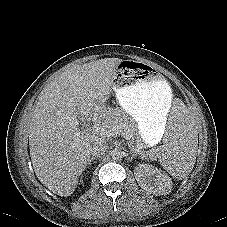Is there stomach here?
Here are the masks:
<instances>
[{"mask_svg":"<svg viewBox=\"0 0 227 227\" xmlns=\"http://www.w3.org/2000/svg\"><path fill=\"white\" fill-rule=\"evenodd\" d=\"M112 89L121 108L136 122L146 146L163 136L172 102V91L166 79L152 67L123 59L111 69Z\"/></svg>","mask_w":227,"mask_h":227,"instance_id":"obj_1","label":"stomach"}]
</instances>
